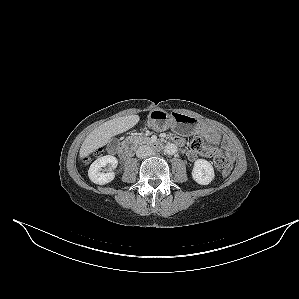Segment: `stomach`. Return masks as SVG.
Listing matches in <instances>:
<instances>
[{"mask_svg":"<svg viewBox=\"0 0 299 299\" xmlns=\"http://www.w3.org/2000/svg\"><path fill=\"white\" fill-rule=\"evenodd\" d=\"M148 126L156 131L172 128L185 134H192L198 129V123L192 117L177 112L168 114L161 109H153L149 113Z\"/></svg>","mask_w":299,"mask_h":299,"instance_id":"0dacf381","label":"stomach"}]
</instances>
